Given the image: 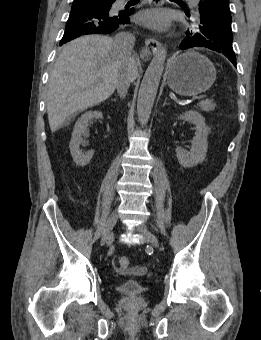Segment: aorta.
Wrapping results in <instances>:
<instances>
[{"instance_id":"1","label":"aorta","mask_w":261,"mask_h":340,"mask_svg":"<svg viewBox=\"0 0 261 340\" xmlns=\"http://www.w3.org/2000/svg\"><path fill=\"white\" fill-rule=\"evenodd\" d=\"M166 56L167 50L165 47H162L149 64L142 79L137 98V115L142 126L148 123L164 71Z\"/></svg>"}]
</instances>
